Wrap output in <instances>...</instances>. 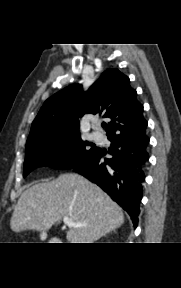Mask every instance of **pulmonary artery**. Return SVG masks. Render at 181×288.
<instances>
[{
  "instance_id": "pulmonary-artery-1",
  "label": "pulmonary artery",
  "mask_w": 181,
  "mask_h": 288,
  "mask_svg": "<svg viewBox=\"0 0 181 288\" xmlns=\"http://www.w3.org/2000/svg\"><path fill=\"white\" fill-rule=\"evenodd\" d=\"M92 138L97 142H101L103 140V135L100 132H93Z\"/></svg>"
}]
</instances>
